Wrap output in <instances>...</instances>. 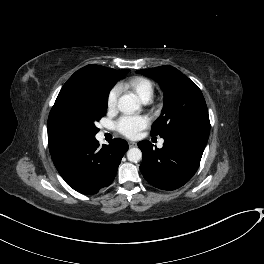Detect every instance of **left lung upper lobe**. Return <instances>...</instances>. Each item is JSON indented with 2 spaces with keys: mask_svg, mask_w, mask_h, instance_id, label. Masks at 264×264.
Listing matches in <instances>:
<instances>
[{
  "mask_svg": "<svg viewBox=\"0 0 264 264\" xmlns=\"http://www.w3.org/2000/svg\"><path fill=\"white\" fill-rule=\"evenodd\" d=\"M137 73L156 80L165 95L161 116L153 123L151 136L169 137L186 127L210 129L208 109L200 89L178 69L165 65Z\"/></svg>",
  "mask_w": 264,
  "mask_h": 264,
  "instance_id": "1",
  "label": "left lung upper lobe"
}]
</instances>
